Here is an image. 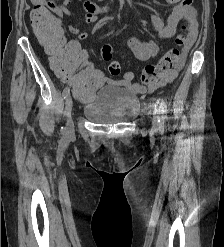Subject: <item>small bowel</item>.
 Here are the masks:
<instances>
[{
  "label": "small bowel",
  "instance_id": "small-bowel-1",
  "mask_svg": "<svg viewBox=\"0 0 224 247\" xmlns=\"http://www.w3.org/2000/svg\"><path fill=\"white\" fill-rule=\"evenodd\" d=\"M36 6H49L48 0H31ZM169 4L174 7L172 12L167 18V21L156 15L152 14L150 19L154 29L158 32L159 36L163 39L171 38L175 35L177 25L181 20L188 22L187 37L183 45V52L179 57L175 67L163 75L158 81L152 83L148 88L143 85L134 83V73L131 71L126 72L122 79L118 81V84L128 89L135 95H144L147 92H153L167 84L173 82L178 76L179 70L183 67L187 52L192 47L196 36H197V22H196V11L192 7L193 0H166ZM55 13L63 18L64 16H72L73 13L69 11L63 5L53 6ZM98 19L97 12H91L86 9L84 15V22L86 26L95 23ZM69 30L72 34L76 35L79 40L87 37V30L85 28L80 29L73 26H69ZM77 42V41H74ZM128 45L135 57L141 61H147L156 58L159 53V47L153 40L141 39L138 36H132L128 40Z\"/></svg>",
  "mask_w": 224,
  "mask_h": 247
}]
</instances>
